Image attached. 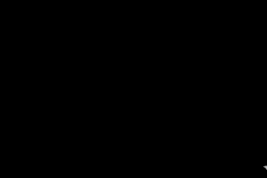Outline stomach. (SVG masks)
<instances>
[{"label": "stomach", "instance_id": "obj_1", "mask_svg": "<svg viewBox=\"0 0 267 178\" xmlns=\"http://www.w3.org/2000/svg\"><path fill=\"white\" fill-rule=\"evenodd\" d=\"M152 37L155 39L158 45L163 46L165 45V30L157 27L154 32L152 33Z\"/></svg>", "mask_w": 267, "mask_h": 178}]
</instances>
